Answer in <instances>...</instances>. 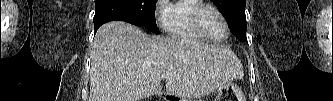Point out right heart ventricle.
<instances>
[{
	"instance_id": "obj_1",
	"label": "right heart ventricle",
	"mask_w": 333,
	"mask_h": 101,
	"mask_svg": "<svg viewBox=\"0 0 333 101\" xmlns=\"http://www.w3.org/2000/svg\"><path fill=\"white\" fill-rule=\"evenodd\" d=\"M201 3L197 0H178L169 6L166 29L175 38L204 41L191 24L192 9Z\"/></svg>"
}]
</instances>
